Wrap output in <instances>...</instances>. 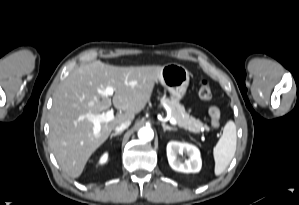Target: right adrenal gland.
Wrapping results in <instances>:
<instances>
[{"instance_id": "obj_1", "label": "right adrenal gland", "mask_w": 299, "mask_h": 205, "mask_svg": "<svg viewBox=\"0 0 299 205\" xmlns=\"http://www.w3.org/2000/svg\"><path fill=\"white\" fill-rule=\"evenodd\" d=\"M122 134V132H115V133H112L111 135H110V139H112L114 136H118V135H121Z\"/></svg>"}]
</instances>
